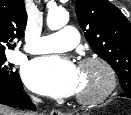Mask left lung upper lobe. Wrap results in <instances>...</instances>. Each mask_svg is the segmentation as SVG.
<instances>
[{"mask_svg": "<svg viewBox=\"0 0 131 115\" xmlns=\"http://www.w3.org/2000/svg\"><path fill=\"white\" fill-rule=\"evenodd\" d=\"M80 27L93 51L117 73L124 93L131 98V24L107 0H76Z\"/></svg>", "mask_w": 131, "mask_h": 115, "instance_id": "1", "label": "left lung upper lobe"}]
</instances>
